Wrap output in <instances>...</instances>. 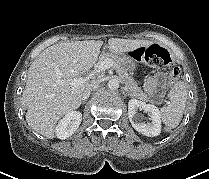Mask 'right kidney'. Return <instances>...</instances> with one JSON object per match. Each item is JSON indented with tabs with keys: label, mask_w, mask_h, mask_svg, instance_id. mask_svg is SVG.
I'll return each instance as SVG.
<instances>
[{
	"label": "right kidney",
	"mask_w": 209,
	"mask_h": 179,
	"mask_svg": "<svg viewBox=\"0 0 209 179\" xmlns=\"http://www.w3.org/2000/svg\"><path fill=\"white\" fill-rule=\"evenodd\" d=\"M82 114L79 111L68 112L55 129L56 137L64 140L70 137L80 126Z\"/></svg>",
	"instance_id": "1"
}]
</instances>
